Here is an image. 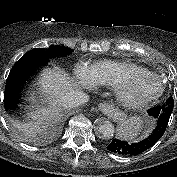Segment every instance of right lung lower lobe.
Segmentation results:
<instances>
[{
    "mask_svg": "<svg viewBox=\"0 0 177 177\" xmlns=\"http://www.w3.org/2000/svg\"><path fill=\"white\" fill-rule=\"evenodd\" d=\"M48 61L49 58L46 56L32 54H25L17 61L9 73L5 87L4 104L7 111L11 112V110L17 108L19 93L25 81L30 78L37 68L46 65Z\"/></svg>",
    "mask_w": 177,
    "mask_h": 177,
    "instance_id": "1",
    "label": "right lung lower lobe"
}]
</instances>
